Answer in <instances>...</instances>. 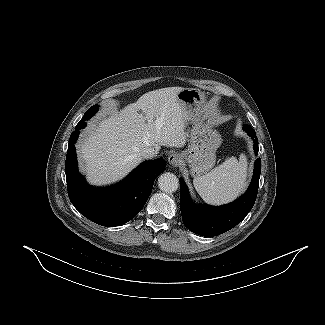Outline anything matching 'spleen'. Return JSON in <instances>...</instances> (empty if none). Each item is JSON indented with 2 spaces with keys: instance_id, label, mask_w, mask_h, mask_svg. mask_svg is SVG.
Wrapping results in <instances>:
<instances>
[{
  "instance_id": "1",
  "label": "spleen",
  "mask_w": 325,
  "mask_h": 325,
  "mask_svg": "<svg viewBox=\"0 0 325 325\" xmlns=\"http://www.w3.org/2000/svg\"><path fill=\"white\" fill-rule=\"evenodd\" d=\"M247 157L232 156L203 176H196L193 184L208 204L220 205L234 200L247 186Z\"/></svg>"
}]
</instances>
